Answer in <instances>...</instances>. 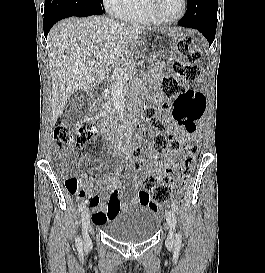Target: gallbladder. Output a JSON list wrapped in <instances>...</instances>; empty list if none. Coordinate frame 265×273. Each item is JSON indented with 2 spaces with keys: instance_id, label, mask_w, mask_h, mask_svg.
<instances>
[{
  "instance_id": "1",
  "label": "gallbladder",
  "mask_w": 265,
  "mask_h": 273,
  "mask_svg": "<svg viewBox=\"0 0 265 273\" xmlns=\"http://www.w3.org/2000/svg\"><path fill=\"white\" fill-rule=\"evenodd\" d=\"M89 100L88 93L84 91L74 93L65 106L62 120L66 123L78 122L86 114Z\"/></svg>"
}]
</instances>
